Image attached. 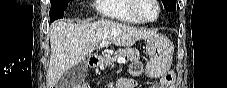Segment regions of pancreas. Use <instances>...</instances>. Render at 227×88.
<instances>
[{
	"mask_svg": "<svg viewBox=\"0 0 227 88\" xmlns=\"http://www.w3.org/2000/svg\"><path fill=\"white\" fill-rule=\"evenodd\" d=\"M119 57H125L131 61L139 62L140 53L137 49L125 48L119 49L113 54H108L102 58L101 67H107L117 61Z\"/></svg>",
	"mask_w": 227,
	"mask_h": 88,
	"instance_id": "1",
	"label": "pancreas"
}]
</instances>
